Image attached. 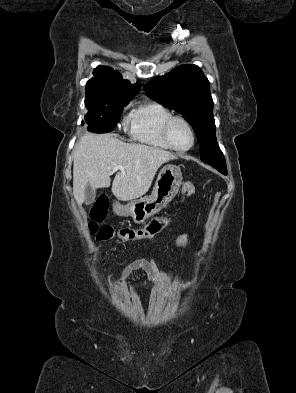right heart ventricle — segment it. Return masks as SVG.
Wrapping results in <instances>:
<instances>
[{"label": "right heart ventricle", "mask_w": 296, "mask_h": 393, "mask_svg": "<svg viewBox=\"0 0 296 393\" xmlns=\"http://www.w3.org/2000/svg\"><path fill=\"white\" fill-rule=\"evenodd\" d=\"M171 111L161 103L145 102L135 108L130 116V134L133 140L159 149H171L165 142L162 130Z\"/></svg>", "instance_id": "1"}]
</instances>
